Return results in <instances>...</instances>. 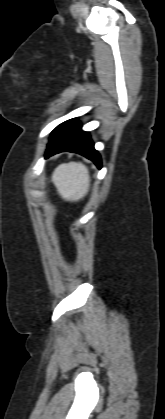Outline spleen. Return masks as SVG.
Instances as JSON below:
<instances>
[{
  "mask_svg": "<svg viewBox=\"0 0 165 419\" xmlns=\"http://www.w3.org/2000/svg\"><path fill=\"white\" fill-rule=\"evenodd\" d=\"M52 181L66 201H78L89 191V171L81 162L60 164L53 172Z\"/></svg>",
  "mask_w": 165,
  "mask_h": 419,
  "instance_id": "spleen-1",
  "label": "spleen"
}]
</instances>
